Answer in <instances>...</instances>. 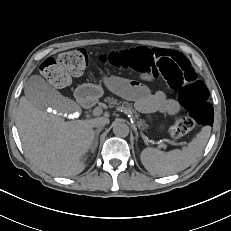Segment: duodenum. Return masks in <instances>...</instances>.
<instances>
[{"mask_svg":"<svg viewBox=\"0 0 231 231\" xmlns=\"http://www.w3.org/2000/svg\"><path fill=\"white\" fill-rule=\"evenodd\" d=\"M92 101L88 99H83L80 101L81 106L85 109L88 110L92 106Z\"/></svg>","mask_w":231,"mask_h":231,"instance_id":"obj_1","label":"duodenum"}]
</instances>
